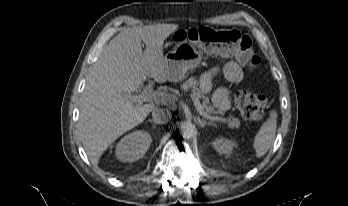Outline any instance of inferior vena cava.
<instances>
[{
  "mask_svg": "<svg viewBox=\"0 0 348 206\" xmlns=\"http://www.w3.org/2000/svg\"><path fill=\"white\" fill-rule=\"evenodd\" d=\"M153 120L158 124H166L171 120L172 114L164 108H155L152 111Z\"/></svg>",
  "mask_w": 348,
  "mask_h": 206,
  "instance_id": "1",
  "label": "inferior vena cava"
}]
</instances>
